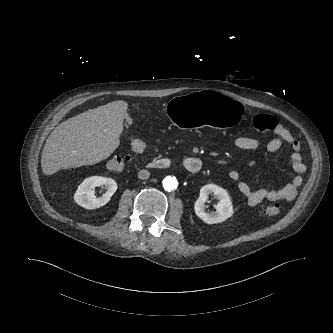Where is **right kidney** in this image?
<instances>
[{
	"label": "right kidney",
	"instance_id": "right-kidney-1",
	"mask_svg": "<svg viewBox=\"0 0 333 333\" xmlns=\"http://www.w3.org/2000/svg\"><path fill=\"white\" fill-rule=\"evenodd\" d=\"M95 187H104L107 191L101 197L97 198L94 191ZM116 190L117 183L114 179L92 176L84 179L78 186L74 200L78 205L92 210L107 204Z\"/></svg>",
	"mask_w": 333,
	"mask_h": 333
}]
</instances>
